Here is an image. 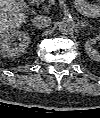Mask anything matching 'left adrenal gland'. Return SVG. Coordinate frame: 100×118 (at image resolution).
Masks as SVG:
<instances>
[{
    "label": "left adrenal gland",
    "instance_id": "a2214340",
    "mask_svg": "<svg viewBox=\"0 0 100 118\" xmlns=\"http://www.w3.org/2000/svg\"><path fill=\"white\" fill-rule=\"evenodd\" d=\"M88 25H89V23L86 22V21H81V22H79V26H80L81 28H83V27H85V26H88Z\"/></svg>",
    "mask_w": 100,
    "mask_h": 118
}]
</instances>
